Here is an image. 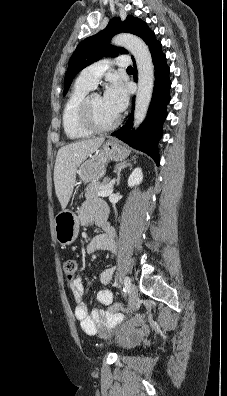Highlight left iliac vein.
Listing matches in <instances>:
<instances>
[{"label": "left iliac vein", "instance_id": "1", "mask_svg": "<svg viewBox=\"0 0 227 396\" xmlns=\"http://www.w3.org/2000/svg\"><path fill=\"white\" fill-rule=\"evenodd\" d=\"M138 299V290L134 283L130 284L129 288V306L131 309L135 308Z\"/></svg>", "mask_w": 227, "mask_h": 396}]
</instances>
